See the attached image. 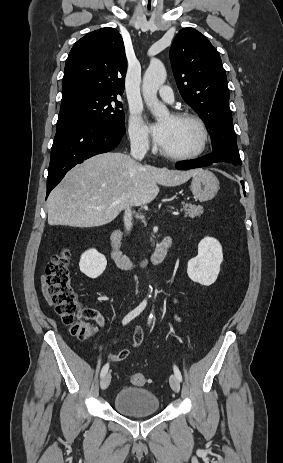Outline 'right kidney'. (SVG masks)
I'll use <instances>...</instances> for the list:
<instances>
[{"mask_svg": "<svg viewBox=\"0 0 283 463\" xmlns=\"http://www.w3.org/2000/svg\"><path fill=\"white\" fill-rule=\"evenodd\" d=\"M107 266L106 257L96 249H89L81 255L80 271L87 277L95 279L99 277Z\"/></svg>", "mask_w": 283, "mask_h": 463, "instance_id": "right-kidney-1", "label": "right kidney"}]
</instances>
